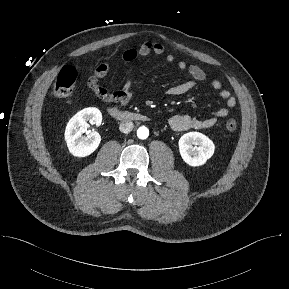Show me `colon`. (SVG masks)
<instances>
[{"label":"colon","instance_id":"1","mask_svg":"<svg viewBox=\"0 0 289 289\" xmlns=\"http://www.w3.org/2000/svg\"><path fill=\"white\" fill-rule=\"evenodd\" d=\"M77 78L76 70L71 66H65L59 73L53 87V94L56 98H67L71 96L75 89ZM228 132H234L237 129V122L230 118L226 121Z\"/></svg>","mask_w":289,"mask_h":289}]
</instances>
